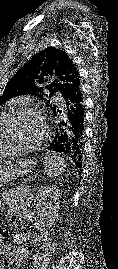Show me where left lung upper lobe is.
Returning a JSON list of instances; mask_svg holds the SVG:
<instances>
[{"label":"left lung upper lobe","mask_w":118,"mask_h":269,"mask_svg":"<svg viewBox=\"0 0 118 269\" xmlns=\"http://www.w3.org/2000/svg\"><path fill=\"white\" fill-rule=\"evenodd\" d=\"M81 88L79 72L65 51L46 48L31 58L7 83L0 97V105L8 99L32 94L43 99L53 111L51 97H62Z\"/></svg>","instance_id":"1"}]
</instances>
